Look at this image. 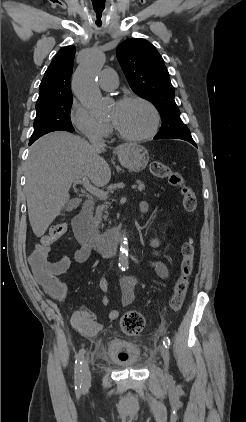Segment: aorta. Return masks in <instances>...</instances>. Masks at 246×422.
Segmentation results:
<instances>
[{
  "label": "aorta",
  "mask_w": 246,
  "mask_h": 422,
  "mask_svg": "<svg viewBox=\"0 0 246 422\" xmlns=\"http://www.w3.org/2000/svg\"><path fill=\"white\" fill-rule=\"evenodd\" d=\"M105 55L101 52L92 53L77 68L73 76L72 87L76 97L96 116L106 112V106L102 102L101 93L97 86L99 72L104 65ZM119 265L128 266V242L126 238L121 240Z\"/></svg>",
  "instance_id": "762f6f07"
}]
</instances>
